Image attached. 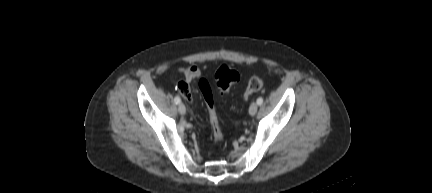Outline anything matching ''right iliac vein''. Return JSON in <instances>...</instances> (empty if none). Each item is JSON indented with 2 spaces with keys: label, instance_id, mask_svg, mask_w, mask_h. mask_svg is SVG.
I'll use <instances>...</instances> for the list:
<instances>
[{
  "label": "right iliac vein",
  "instance_id": "1",
  "mask_svg": "<svg viewBox=\"0 0 432 193\" xmlns=\"http://www.w3.org/2000/svg\"><path fill=\"white\" fill-rule=\"evenodd\" d=\"M178 111L180 114L184 115L186 113V107L183 103H180L178 106Z\"/></svg>",
  "mask_w": 432,
  "mask_h": 193
}]
</instances>
